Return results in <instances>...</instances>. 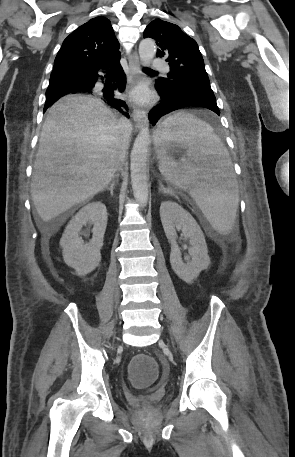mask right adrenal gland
I'll list each match as a JSON object with an SVG mask.
<instances>
[{
  "instance_id": "right-adrenal-gland-1",
  "label": "right adrenal gland",
  "mask_w": 295,
  "mask_h": 457,
  "mask_svg": "<svg viewBox=\"0 0 295 457\" xmlns=\"http://www.w3.org/2000/svg\"><path fill=\"white\" fill-rule=\"evenodd\" d=\"M117 182H118V176H116L115 179H113L112 182L110 183L109 187H107L105 189V190L110 191L111 196H113V191H114V188H115V185Z\"/></svg>"
}]
</instances>
